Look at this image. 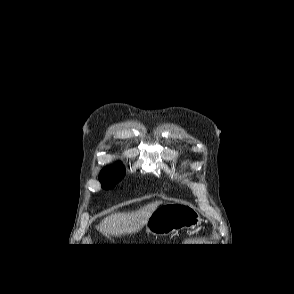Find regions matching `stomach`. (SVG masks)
Listing matches in <instances>:
<instances>
[{
  "instance_id": "0dacf381",
  "label": "stomach",
  "mask_w": 294,
  "mask_h": 294,
  "mask_svg": "<svg viewBox=\"0 0 294 294\" xmlns=\"http://www.w3.org/2000/svg\"><path fill=\"white\" fill-rule=\"evenodd\" d=\"M202 222L200 215L188 205L168 202L156 208L145 227L155 236H168L183 228L194 229Z\"/></svg>"
}]
</instances>
